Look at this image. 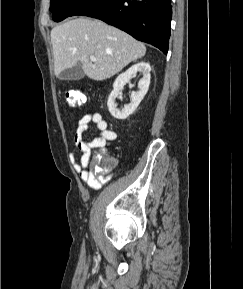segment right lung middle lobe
Returning a JSON list of instances; mask_svg holds the SVG:
<instances>
[{"label": "right lung middle lobe", "mask_w": 243, "mask_h": 289, "mask_svg": "<svg viewBox=\"0 0 243 289\" xmlns=\"http://www.w3.org/2000/svg\"><path fill=\"white\" fill-rule=\"evenodd\" d=\"M85 0H51L50 10L54 21L59 22L71 16Z\"/></svg>", "instance_id": "right-lung-middle-lobe-1"}]
</instances>
